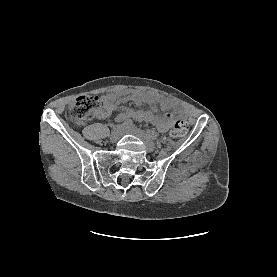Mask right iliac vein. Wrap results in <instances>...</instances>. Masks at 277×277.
<instances>
[{
    "instance_id": "right-iliac-vein-1",
    "label": "right iliac vein",
    "mask_w": 277,
    "mask_h": 277,
    "mask_svg": "<svg viewBox=\"0 0 277 277\" xmlns=\"http://www.w3.org/2000/svg\"><path fill=\"white\" fill-rule=\"evenodd\" d=\"M124 127L122 125L113 126L112 132L110 134V141L116 142L122 135Z\"/></svg>"
}]
</instances>
